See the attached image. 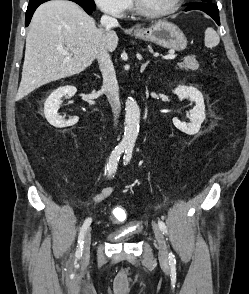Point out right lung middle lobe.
<instances>
[{"mask_svg": "<svg viewBox=\"0 0 249 294\" xmlns=\"http://www.w3.org/2000/svg\"><path fill=\"white\" fill-rule=\"evenodd\" d=\"M35 1H38V0H30L29 3L31 2H35ZM84 6L86 7H89L91 8L92 10H95L96 7H95V3H94V0H79Z\"/></svg>", "mask_w": 249, "mask_h": 294, "instance_id": "obj_1", "label": "right lung middle lobe"}]
</instances>
